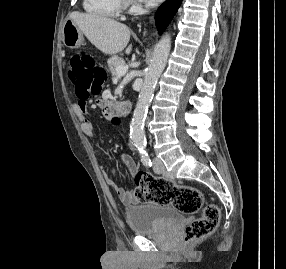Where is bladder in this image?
<instances>
[{"instance_id": "bladder-1", "label": "bladder", "mask_w": 286, "mask_h": 269, "mask_svg": "<svg viewBox=\"0 0 286 269\" xmlns=\"http://www.w3.org/2000/svg\"><path fill=\"white\" fill-rule=\"evenodd\" d=\"M125 216L130 229L138 235L155 233L182 220L176 208L156 203H145L128 207Z\"/></svg>"}]
</instances>
